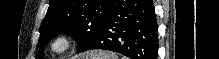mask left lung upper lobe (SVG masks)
<instances>
[{"label":"left lung upper lobe","mask_w":219,"mask_h":59,"mask_svg":"<svg viewBox=\"0 0 219 59\" xmlns=\"http://www.w3.org/2000/svg\"><path fill=\"white\" fill-rule=\"evenodd\" d=\"M113 0H50L40 26L39 53L43 58L46 44L60 32L78 42L77 52L89 44L106 20Z\"/></svg>","instance_id":"obj_1"}]
</instances>
